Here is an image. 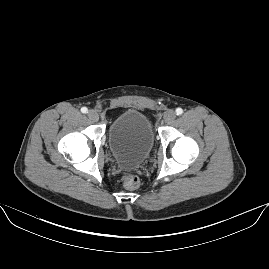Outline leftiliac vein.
I'll return each mask as SVG.
<instances>
[{
  "instance_id": "left-iliac-vein-1",
  "label": "left iliac vein",
  "mask_w": 269,
  "mask_h": 269,
  "mask_svg": "<svg viewBox=\"0 0 269 269\" xmlns=\"http://www.w3.org/2000/svg\"><path fill=\"white\" fill-rule=\"evenodd\" d=\"M175 117H176L175 111L167 110L164 114V121L169 124L174 121Z\"/></svg>"
}]
</instances>
